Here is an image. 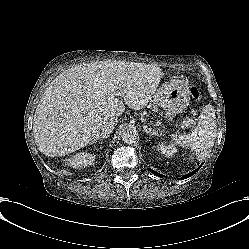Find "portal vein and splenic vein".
Masks as SVG:
<instances>
[{
    "instance_id": "portal-vein-and-splenic-vein-1",
    "label": "portal vein and splenic vein",
    "mask_w": 249,
    "mask_h": 249,
    "mask_svg": "<svg viewBox=\"0 0 249 249\" xmlns=\"http://www.w3.org/2000/svg\"><path fill=\"white\" fill-rule=\"evenodd\" d=\"M189 122H190V120H188V121H183V126H184V125H187Z\"/></svg>"
}]
</instances>
